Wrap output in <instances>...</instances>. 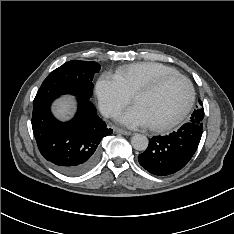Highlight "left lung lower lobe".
I'll use <instances>...</instances> for the list:
<instances>
[{"label": "left lung lower lobe", "instance_id": "0a47b994", "mask_svg": "<svg viewBox=\"0 0 234 234\" xmlns=\"http://www.w3.org/2000/svg\"><path fill=\"white\" fill-rule=\"evenodd\" d=\"M202 129L203 125L187 122L169 135L153 137L148 148L138 156L140 165L158 176L179 171L197 150Z\"/></svg>", "mask_w": 234, "mask_h": 234}]
</instances>
